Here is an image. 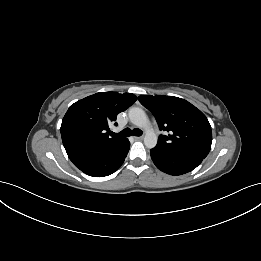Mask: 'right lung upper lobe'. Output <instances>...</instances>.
<instances>
[{
  "instance_id": "1",
  "label": "right lung upper lobe",
  "mask_w": 261,
  "mask_h": 261,
  "mask_svg": "<svg viewBox=\"0 0 261 261\" xmlns=\"http://www.w3.org/2000/svg\"><path fill=\"white\" fill-rule=\"evenodd\" d=\"M136 100L137 97L131 93L99 92L75 102L69 107L61 124L64 147L115 144L125 140L110 137L109 125Z\"/></svg>"
}]
</instances>
